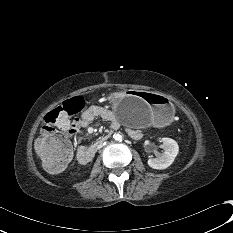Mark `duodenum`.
Here are the masks:
<instances>
[{"instance_id":"410a0bca","label":"duodenum","mask_w":233,"mask_h":233,"mask_svg":"<svg viewBox=\"0 0 233 233\" xmlns=\"http://www.w3.org/2000/svg\"><path fill=\"white\" fill-rule=\"evenodd\" d=\"M111 134L101 136L94 144L89 147H80L77 153L78 160L82 164L89 163L95 156L99 147L110 138Z\"/></svg>"}]
</instances>
